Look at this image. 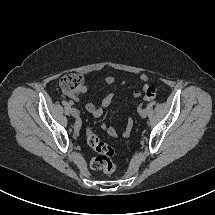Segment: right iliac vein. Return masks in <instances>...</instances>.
Listing matches in <instances>:
<instances>
[{"instance_id": "63e3f726", "label": "right iliac vein", "mask_w": 215, "mask_h": 215, "mask_svg": "<svg viewBox=\"0 0 215 215\" xmlns=\"http://www.w3.org/2000/svg\"><path fill=\"white\" fill-rule=\"evenodd\" d=\"M71 114L73 117H78L79 116V111L75 108L71 109Z\"/></svg>"}]
</instances>
